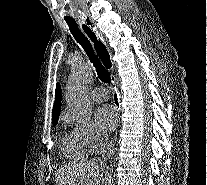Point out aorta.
I'll return each mask as SVG.
<instances>
[{"instance_id": "obj_1", "label": "aorta", "mask_w": 207, "mask_h": 185, "mask_svg": "<svg viewBox=\"0 0 207 185\" xmlns=\"http://www.w3.org/2000/svg\"><path fill=\"white\" fill-rule=\"evenodd\" d=\"M92 65L89 62H79L72 66L66 85V101L68 109L79 122H86L92 114L89 98V86L92 81Z\"/></svg>"}]
</instances>
